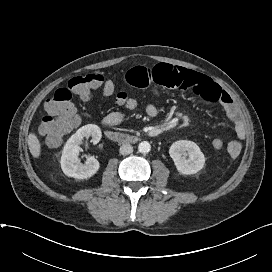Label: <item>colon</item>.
<instances>
[{"mask_svg": "<svg viewBox=\"0 0 272 272\" xmlns=\"http://www.w3.org/2000/svg\"><path fill=\"white\" fill-rule=\"evenodd\" d=\"M99 87H102L103 93L108 96L116 91L112 81L105 80L101 74L92 73L72 78L66 87L57 89L46 101V116L42 119L39 132L48 145H59L64 136L78 124L79 117L72 102L73 94L89 100ZM116 104L127 110H134L139 106V101L129 93L121 91L116 93ZM211 145L215 150H221L225 146L220 138L213 139Z\"/></svg>", "mask_w": 272, "mask_h": 272, "instance_id": "5ec220e1", "label": "colon"}]
</instances>
